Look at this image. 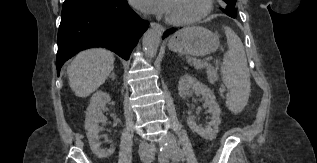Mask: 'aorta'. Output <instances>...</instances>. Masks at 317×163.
<instances>
[{
    "label": "aorta",
    "instance_id": "762f6f07",
    "mask_svg": "<svg viewBox=\"0 0 317 163\" xmlns=\"http://www.w3.org/2000/svg\"><path fill=\"white\" fill-rule=\"evenodd\" d=\"M161 41V32L158 28H150L148 29L142 39V45L145 53L149 57H154L157 54L158 47Z\"/></svg>",
    "mask_w": 317,
    "mask_h": 163
}]
</instances>
